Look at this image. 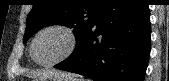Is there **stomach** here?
<instances>
[{
	"mask_svg": "<svg viewBox=\"0 0 169 81\" xmlns=\"http://www.w3.org/2000/svg\"><path fill=\"white\" fill-rule=\"evenodd\" d=\"M34 81H77L74 78H65L62 76H48L43 78H35Z\"/></svg>",
	"mask_w": 169,
	"mask_h": 81,
	"instance_id": "0dacf381",
	"label": "stomach"
}]
</instances>
